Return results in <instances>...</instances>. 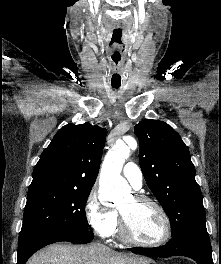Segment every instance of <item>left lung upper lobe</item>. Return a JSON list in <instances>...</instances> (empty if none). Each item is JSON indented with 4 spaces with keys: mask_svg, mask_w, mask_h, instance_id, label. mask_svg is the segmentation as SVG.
<instances>
[{
    "mask_svg": "<svg viewBox=\"0 0 221 264\" xmlns=\"http://www.w3.org/2000/svg\"><path fill=\"white\" fill-rule=\"evenodd\" d=\"M134 132L140 142L139 163L144 178L170 219L171 236L206 231L195 167L179 134L159 120L142 121Z\"/></svg>",
    "mask_w": 221,
    "mask_h": 264,
    "instance_id": "1",
    "label": "left lung upper lobe"
}]
</instances>
